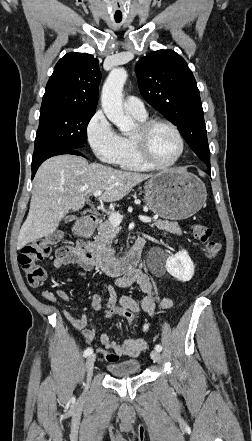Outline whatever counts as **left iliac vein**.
<instances>
[{"label": "left iliac vein", "instance_id": "4c4485c4", "mask_svg": "<svg viewBox=\"0 0 252 441\" xmlns=\"http://www.w3.org/2000/svg\"><path fill=\"white\" fill-rule=\"evenodd\" d=\"M151 358L154 360V362L160 363V361H161L160 352L157 351V350L152 351L151 352Z\"/></svg>", "mask_w": 252, "mask_h": 441}]
</instances>
